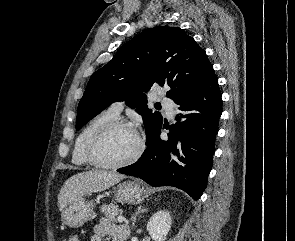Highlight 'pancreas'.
Returning a JSON list of instances; mask_svg holds the SVG:
<instances>
[{"label":"pancreas","mask_w":295,"mask_h":241,"mask_svg":"<svg viewBox=\"0 0 295 241\" xmlns=\"http://www.w3.org/2000/svg\"><path fill=\"white\" fill-rule=\"evenodd\" d=\"M101 211L104 213L105 217L112 221V222H118L119 215L122 214V210L118 208L116 204H109V205H103L101 207Z\"/></svg>","instance_id":"1"}]
</instances>
